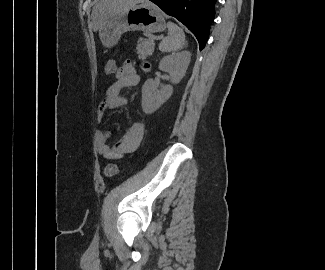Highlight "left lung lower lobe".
Returning <instances> with one entry per match:
<instances>
[{"mask_svg":"<svg viewBox=\"0 0 325 270\" xmlns=\"http://www.w3.org/2000/svg\"><path fill=\"white\" fill-rule=\"evenodd\" d=\"M166 14L183 23L197 38L202 50L208 40L210 24L214 20L217 0H150Z\"/></svg>","mask_w":325,"mask_h":270,"instance_id":"0a47b994","label":"left lung lower lobe"}]
</instances>
